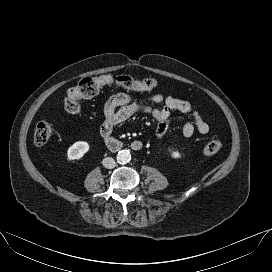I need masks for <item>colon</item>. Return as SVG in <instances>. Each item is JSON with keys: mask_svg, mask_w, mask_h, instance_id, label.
Listing matches in <instances>:
<instances>
[{"mask_svg": "<svg viewBox=\"0 0 272 272\" xmlns=\"http://www.w3.org/2000/svg\"><path fill=\"white\" fill-rule=\"evenodd\" d=\"M114 85L128 92H142L157 87L158 83L154 79L135 80L129 76L114 77L111 75H102L96 77H87L80 80L74 87L67 91L64 99L65 110L69 113L80 112L79 100L96 96L102 87ZM52 134V127L47 122H40L34 130V143L38 146L45 145ZM222 143L219 140H211L204 147L206 155H212L219 152Z\"/></svg>", "mask_w": 272, "mask_h": 272, "instance_id": "1", "label": "colon"}]
</instances>
